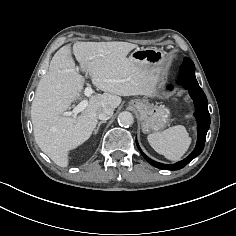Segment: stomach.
Wrapping results in <instances>:
<instances>
[{"label": "stomach", "instance_id": "1", "mask_svg": "<svg viewBox=\"0 0 236 236\" xmlns=\"http://www.w3.org/2000/svg\"><path fill=\"white\" fill-rule=\"evenodd\" d=\"M129 58L149 69H159L165 60L164 54L153 48H137L131 53ZM130 104L136 108L142 124V130L145 133L159 131L169 121L170 110L163 105H154L140 100H132Z\"/></svg>", "mask_w": 236, "mask_h": 236}]
</instances>
